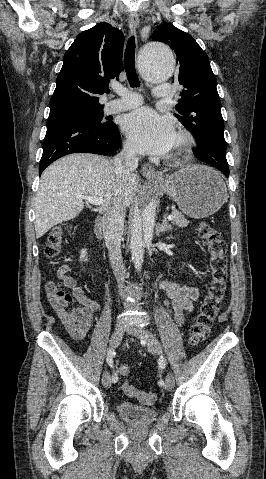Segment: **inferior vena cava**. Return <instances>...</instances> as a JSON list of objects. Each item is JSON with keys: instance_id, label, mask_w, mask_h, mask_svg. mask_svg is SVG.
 <instances>
[{"instance_id": "602c4592", "label": "inferior vena cava", "mask_w": 266, "mask_h": 479, "mask_svg": "<svg viewBox=\"0 0 266 479\" xmlns=\"http://www.w3.org/2000/svg\"><path fill=\"white\" fill-rule=\"evenodd\" d=\"M135 148L130 143L123 145L122 151L114 158L115 173L126 179L138 167ZM126 208L116 199L104 210L103 234L109 252V260L116 277L120 295L123 296L125 267L121 255V237L124 230Z\"/></svg>"}]
</instances>
